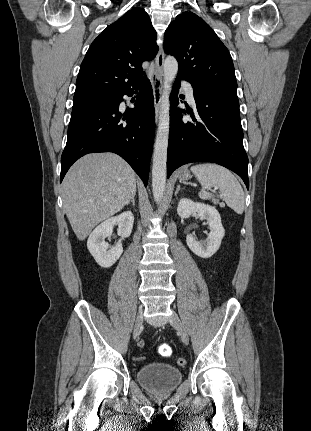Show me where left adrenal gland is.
<instances>
[{
    "instance_id": "obj_1",
    "label": "left adrenal gland",
    "mask_w": 311,
    "mask_h": 431,
    "mask_svg": "<svg viewBox=\"0 0 311 431\" xmlns=\"http://www.w3.org/2000/svg\"><path fill=\"white\" fill-rule=\"evenodd\" d=\"M179 190H181V186H177V188H176V192H175L174 196H177V194H178ZM182 190H183V188H182Z\"/></svg>"
}]
</instances>
